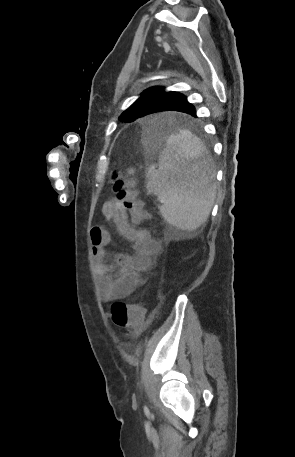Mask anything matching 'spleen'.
Segmentation results:
<instances>
[{
    "instance_id": "obj_1",
    "label": "spleen",
    "mask_w": 295,
    "mask_h": 457,
    "mask_svg": "<svg viewBox=\"0 0 295 457\" xmlns=\"http://www.w3.org/2000/svg\"><path fill=\"white\" fill-rule=\"evenodd\" d=\"M147 192L158 196V209L174 227L194 231L208 218L216 187L201 140L187 130L170 135L157 164L147 168Z\"/></svg>"
}]
</instances>
